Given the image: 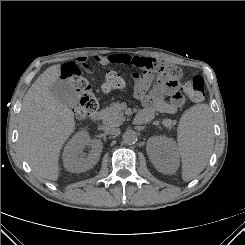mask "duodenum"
<instances>
[{
    "label": "duodenum",
    "instance_id": "duodenum-1",
    "mask_svg": "<svg viewBox=\"0 0 245 245\" xmlns=\"http://www.w3.org/2000/svg\"><path fill=\"white\" fill-rule=\"evenodd\" d=\"M91 118L94 121H98L101 119V113L99 111H95L92 113ZM135 121L137 123H145V122H147V118L141 114H138L135 118Z\"/></svg>",
    "mask_w": 245,
    "mask_h": 245
}]
</instances>
